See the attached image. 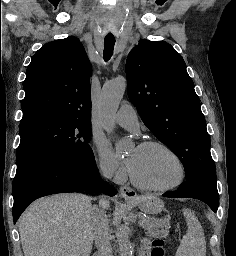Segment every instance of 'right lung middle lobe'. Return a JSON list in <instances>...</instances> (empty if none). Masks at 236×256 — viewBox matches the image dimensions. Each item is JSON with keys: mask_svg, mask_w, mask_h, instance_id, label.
I'll list each match as a JSON object with an SVG mask.
<instances>
[{"mask_svg": "<svg viewBox=\"0 0 236 256\" xmlns=\"http://www.w3.org/2000/svg\"><path fill=\"white\" fill-rule=\"evenodd\" d=\"M17 169L45 158L72 157L84 161L94 159L89 145L91 121L38 114L22 119Z\"/></svg>", "mask_w": 236, "mask_h": 256, "instance_id": "1", "label": "right lung middle lobe"}]
</instances>
